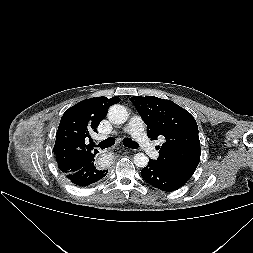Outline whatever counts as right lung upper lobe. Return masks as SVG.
<instances>
[{"label": "right lung upper lobe", "instance_id": "1", "mask_svg": "<svg viewBox=\"0 0 253 253\" xmlns=\"http://www.w3.org/2000/svg\"><path fill=\"white\" fill-rule=\"evenodd\" d=\"M118 102L119 97H96L83 100L65 111L54 145L58 168L64 174L76 172L94 162L98 150L87 144L89 133L97 132L109 107Z\"/></svg>", "mask_w": 253, "mask_h": 253}]
</instances>
